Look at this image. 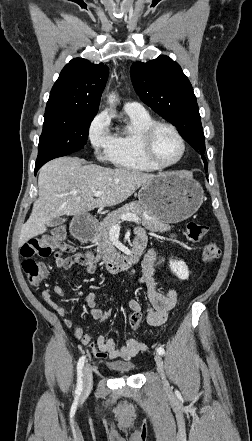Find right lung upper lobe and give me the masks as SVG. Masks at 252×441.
<instances>
[{"label":"right lung upper lobe","mask_w":252,"mask_h":441,"mask_svg":"<svg viewBox=\"0 0 252 441\" xmlns=\"http://www.w3.org/2000/svg\"><path fill=\"white\" fill-rule=\"evenodd\" d=\"M108 67L82 58L72 59L55 82L45 111L97 113Z\"/></svg>","instance_id":"1"}]
</instances>
